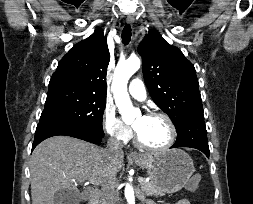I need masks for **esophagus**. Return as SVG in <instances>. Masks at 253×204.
Masks as SVG:
<instances>
[{"mask_svg":"<svg viewBox=\"0 0 253 204\" xmlns=\"http://www.w3.org/2000/svg\"><path fill=\"white\" fill-rule=\"evenodd\" d=\"M126 22H127V24H133V23H134V17L131 16V15H129V16L127 17V19H126ZM129 157L138 158V157H140V156H139L138 154L134 153V152H131V153L129 154Z\"/></svg>","mask_w":253,"mask_h":204,"instance_id":"esophagus-1","label":"esophagus"}]
</instances>
